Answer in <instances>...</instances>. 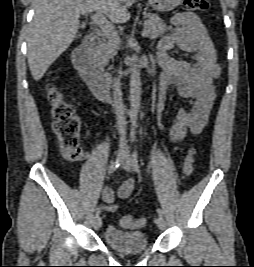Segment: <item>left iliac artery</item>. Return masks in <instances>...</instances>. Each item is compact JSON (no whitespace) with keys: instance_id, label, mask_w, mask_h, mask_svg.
<instances>
[{"instance_id":"left-iliac-artery-1","label":"left iliac artery","mask_w":254,"mask_h":267,"mask_svg":"<svg viewBox=\"0 0 254 267\" xmlns=\"http://www.w3.org/2000/svg\"><path fill=\"white\" fill-rule=\"evenodd\" d=\"M131 160H132V167H133V170H134L136 173L140 174V167H139V163H138V152H137L136 147L134 148V151H133V153H132V158H131ZM157 213H158L159 216H162V217H163V215H164L162 209H160V208L157 209Z\"/></svg>"}]
</instances>
